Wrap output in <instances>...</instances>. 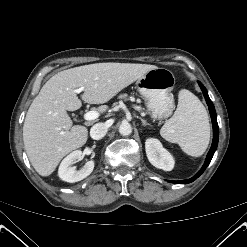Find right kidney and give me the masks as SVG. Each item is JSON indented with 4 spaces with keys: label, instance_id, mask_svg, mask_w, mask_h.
Listing matches in <instances>:
<instances>
[{
    "label": "right kidney",
    "instance_id": "ca27d5eb",
    "mask_svg": "<svg viewBox=\"0 0 247 247\" xmlns=\"http://www.w3.org/2000/svg\"><path fill=\"white\" fill-rule=\"evenodd\" d=\"M82 157V151L76 150L67 155L61 162L58 170L59 177L66 182L74 183L83 180L89 176L94 169V161H88L80 170H76V167L71 165L80 160Z\"/></svg>",
    "mask_w": 247,
    "mask_h": 247
}]
</instances>
